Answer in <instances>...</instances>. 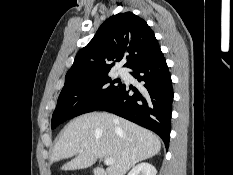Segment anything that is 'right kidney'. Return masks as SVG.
Instances as JSON below:
<instances>
[{
    "label": "right kidney",
    "instance_id": "ca27d5eb",
    "mask_svg": "<svg viewBox=\"0 0 233 175\" xmlns=\"http://www.w3.org/2000/svg\"><path fill=\"white\" fill-rule=\"evenodd\" d=\"M156 173L157 170L152 164L142 162L133 167L128 175H156Z\"/></svg>",
    "mask_w": 233,
    "mask_h": 175
}]
</instances>
